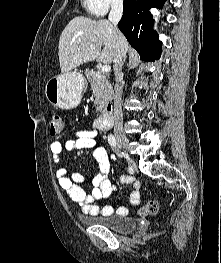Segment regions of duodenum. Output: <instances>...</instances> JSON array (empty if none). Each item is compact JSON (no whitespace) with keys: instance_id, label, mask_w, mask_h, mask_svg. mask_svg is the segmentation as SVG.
<instances>
[{"instance_id":"duodenum-1","label":"duodenum","mask_w":221,"mask_h":263,"mask_svg":"<svg viewBox=\"0 0 221 263\" xmlns=\"http://www.w3.org/2000/svg\"><path fill=\"white\" fill-rule=\"evenodd\" d=\"M112 125H113V107L111 104H109L104 110L103 114L98 118L96 122V127L101 131H105L110 129Z\"/></svg>"}]
</instances>
